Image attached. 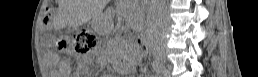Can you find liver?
I'll return each mask as SVG.
<instances>
[{"mask_svg": "<svg viewBox=\"0 0 258 77\" xmlns=\"http://www.w3.org/2000/svg\"><path fill=\"white\" fill-rule=\"evenodd\" d=\"M105 5V0H60V21L64 25H79L100 16ZM63 14H67L69 18L61 17Z\"/></svg>", "mask_w": 258, "mask_h": 77, "instance_id": "obj_1", "label": "liver"}]
</instances>
